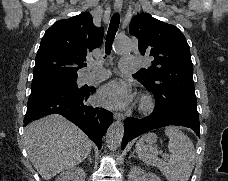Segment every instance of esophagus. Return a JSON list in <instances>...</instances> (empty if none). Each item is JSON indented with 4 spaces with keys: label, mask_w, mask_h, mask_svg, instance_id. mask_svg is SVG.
Instances as JSON below:
<instances>
[{
    "label": "esophagus",
    "mask_w": 228,
    "mask_h": 181,
    "mask_svg": "<svg viewBox=\"0 0 228 181\" xmlns=\"http://www.w3.org/2000/svg\"><path fill=\"white\" fill-rule=\"evenodd\" d=\"M122 3H123V0H115V3H114V8L115 10H120L122 8ZM114 118L116 120H124V114L123 113H114Z\"/></svg>",
    "instance_id": "obj_1"
}]
</instances>
